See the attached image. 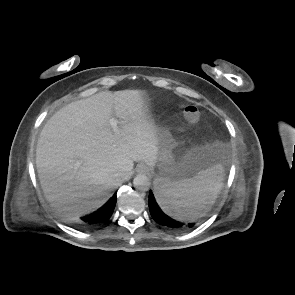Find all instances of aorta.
<instances>
[{
  "instance_id": "aorta-1",
  "label": "aorta",
  "mask_w": 295,
  "mask_h": 295,
  "mask_svg": "<svg viewBox=\"0 0 295 295\" xmlns=\"http://www.w3.org/2000/svg\"><path fill=\"white\" fill-rule=\"evenodd\" d=\"M133 185L137 190L147 191L150 187V181L148 177L144 174H138L133 179Z\"/></svg>"
}]
</instances>
